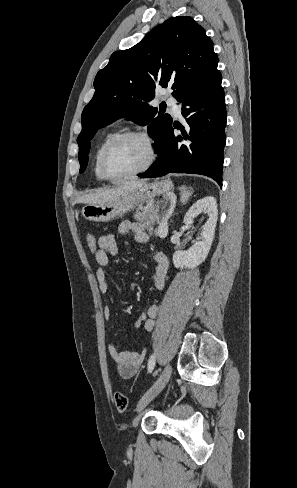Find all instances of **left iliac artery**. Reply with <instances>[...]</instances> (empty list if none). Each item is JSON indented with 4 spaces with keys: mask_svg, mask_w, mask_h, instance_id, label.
Returning <instances> with one entry per match:
<instances>
[{
    "mask_svg": "<svg viewBox=\"0 0 297 488\" xmlns=\"http://www.w3.org/2000/svg\"><path fill=\"white\" fill-rule=\"evenodd\" d=\"M156 357L155 354H152L148 360V372H152L155 367Z\"/></svg>",
    "mask_w": 297,
    "mask_h": 488,
    "instance_id": "1",
    "label": "left iliac artery"
}]
</instances>
